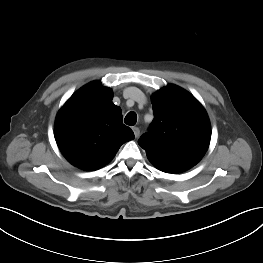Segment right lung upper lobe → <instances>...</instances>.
Instances as JSON below:
<instances>
[{
    "mask_svg": "<svg viewBox=\"0 0 263 263\" xmlns=\"http://www.w3.org/2000/svg\"><path fill=\"white\" fill-rule=\"evenodd\" d=\"M112 98L110 88L93 81L73 94L58 112L55 139L72 165L97 170L114 158L122 144L134 139Z\"/></svg>",
    "mask_w": 263,
    "mask_h": 263,
    "instance_id": "right-lung-upper-lobe-1",
    "label": "right lung upper lobe"
}]
</instances>
